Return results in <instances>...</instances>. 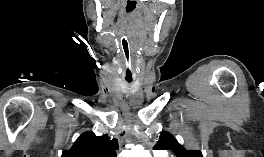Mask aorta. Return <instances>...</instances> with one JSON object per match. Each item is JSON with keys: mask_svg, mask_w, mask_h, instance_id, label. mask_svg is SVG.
Wrapping results in <instances>:
<instances>
[{"mask_svg": "<svg viewBox=\"0 0 264 157\" xmlns=\"http://www.w3.org/2000/svg\"><path fill=\"white\" fill-rule=\"evenodd\" d=\"M125 157H150L148 151H146L142 146H134L131 150L126 151Z\"/></svg>", "mask_w": 264, "mask_h": 157, "instance_id": "obj_1", "label": "aorta"}]
</instances>
